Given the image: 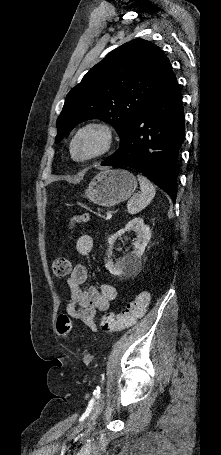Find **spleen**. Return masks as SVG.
<instances>
[{
    "mask_svg": "<svg viewBox=\"0 0 221 455\" xmlns=\"http://www.w3.org/2000/svg\"><path fill=\"white\" fill-rule=\"evenodd\" d=\"M141 194L134 195L127 203L129 214H136L142 211L154 198L156 190L153 184L144 176L137 175Z\"/></svg>",
    "mask_w": 221,
    "mask_h": 455,
    "instance_id": "1",
    "label": "spleen"
}]
</instances>
